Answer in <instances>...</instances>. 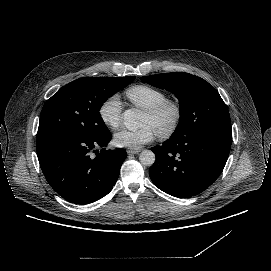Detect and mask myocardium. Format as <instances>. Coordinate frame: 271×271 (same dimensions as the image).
Listing matches in <instances>:
<instances>
[{
  "mask_svg": "<svg viewBox=\"0 0 271 271\" xmlns=\"http://www.w3.org/2000/svg\"><path fill=\"white\" fill-rule=\"evenodd\" d=\"M166 112L171 113V119L166 126L160 127L156 131L157 135L161 137L169 136L177 129L182 118V109L180 104L174 100L166 99L145 109V113L152 118H158Z\"/></svg>",
  "mask_w": 271,
  "mask_h": 271,
  "instance_id": "1",
  "label": "myocardium"
}]
</instances>
